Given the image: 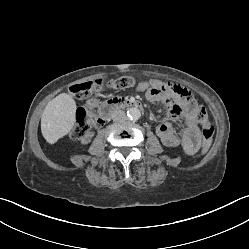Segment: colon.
<instances>
[{
    "instance_id": "colon-1",
    "label": "colon",
    "mask_w": 249,
    "mask_h": 249,
    "mask_svg": "<svg viewBox=\"0 0 249 249\" xmlns=\"http://www.w3.org/2000/svg\"><path fill=\"white\" fill-rule=\"evenodd\" d=\"M112 89H127L137 86L138 88L150 90V85L147 82H137L134 78L124 76L112 79L105 84L100 81H86L76 83L70 86V94L77 99H84L88 96L97 93L103 86ZM100 107L99 104L90 100L79 108L76 113V125L72 131V138L75 140H82L89 134L92 126L100 122ZM196 120L200 126L202 133V151L206 152L211 145L214 127L209 118V115L204 107L199 108Z\"/></svg>"
}]
</instances>
